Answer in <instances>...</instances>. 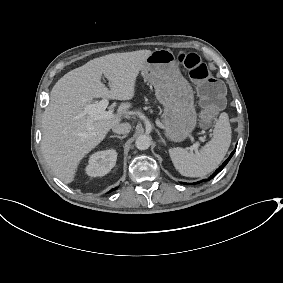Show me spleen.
I'll return each mask as SVG.
<instances>
[{
	"instance_id": "3e777b00",
	"label": "spleen",
	"mask_w": 283,
	"mask_h": 283,
	"mask_svg": "<svg viewBox=\"0 0 283 283\" xmlns=\"http://www.w3.org/2000/svg\"><path fill=\"white\" fill-rule=\"evenodd\" d=\"M231 133L228 114L223 112L216 121L213 138L199 153L180 147L169 149L175 168L186 177H204L211 173L224 159L231 144Z\"/></svg>"
}]
</instances>
